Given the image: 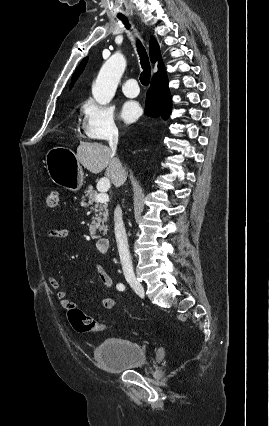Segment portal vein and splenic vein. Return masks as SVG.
<instances>
[{
  "instance_id": "portal-vein-and-splenic-vein-1",
  "label": "portal vein and splenic vein",
  "mask_w": 269,
  "mask_h": 426,
  "mask_svg": "<svg viewBox=\"0 0 269 426\" xmlns=\"http://www.w3.org/2000/svg\"><path fill=\"white\" fill-rule=\"evenodd\" d=\"M108 188H109V185H108L106 188H104V189L102 190V192H101V193H99V194L96 196V198H95V202H96V203H106V202H108V201H109V196H108V194L106 193V191L108 190Z\"/></svg>"
}]
</instances>
